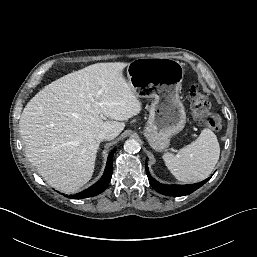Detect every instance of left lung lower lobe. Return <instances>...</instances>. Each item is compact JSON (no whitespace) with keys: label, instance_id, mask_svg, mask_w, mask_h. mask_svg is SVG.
<instances>
[{"label":"left lung lower lobe","instance_id":"left-lung-lower-lobe-1","mask_svg":"<svg viewBox=\"0 0 257 257\" xmlns=\"http://www.w3.org/2000/svg\"><path fill=\"white\" fill-rule=\"evenodd\" d=\"M146 173L148 176V180L150 185L155 189L157 192L167 195V196H184L192 193L193 191L200 188L203 184H205L210 178L193 185H164L157 182L152 176L149 174L148 165L146 162Z\"/></svg>","mask_w":257,"mask_h":257}]
</instances>
